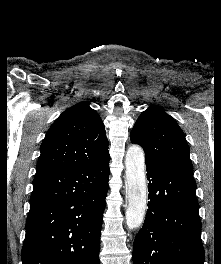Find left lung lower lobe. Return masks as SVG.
I'll list each match as a JSON object with an SVG mask.
<instances>
[{
  "label": "left lung lower lobe",
  "instance_id": "1",
  "mask_svg": "<svg viewBox=\"0 0 221 264\" xmlns=\"http://www.w3.org/2000/svg\"><path fill=\"white\" fill-rule=\"evenodd\" d=\"M146 165L150 201L134 240L133 264H204L193 176Z\"/></svg>",
  "mask_w": 221,
  "mask_h": 264
}]
</instances>
